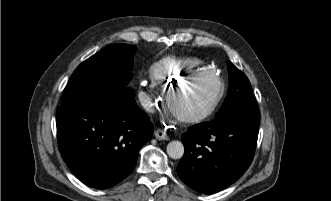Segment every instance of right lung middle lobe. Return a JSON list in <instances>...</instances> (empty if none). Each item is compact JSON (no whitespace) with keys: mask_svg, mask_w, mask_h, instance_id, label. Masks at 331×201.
<instances>
[{"mask_svg":"<svg viewBox=\"0 0 331 201\" xmlns=\"http://www.w3.org/2000/svg\"><path fill=\"white\" fill-rule=\"evenodd\" d=\"M137 47L109 45L81 63L69 79L61 106L91 95L129 87Z\"/></svg>","mask_w":331,"mask_h":201,"instance_id":"1","label":"right lung middle lobe"}]
</instances>
